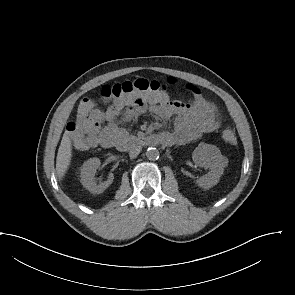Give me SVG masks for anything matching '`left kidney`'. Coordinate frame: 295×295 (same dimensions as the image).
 I'll return each instance as SVG.
<instances>
[{
	"label": "left kidney",
	"instance_id": "left-kidney-1",
	"mask_svg": "<svg viewBox=\"0 0 295 295\" xmlns=\"http://www.w3.org/2000/svg\"><path fill=\"white\" fill-rule=\"evenodd\" d=\"M192 159L198 166L210 170L196 181L198 186L204 189H209L219 182L224 167L227 165V159L221 154L220 150L210 144H199L193 151Z\"/></svg>",
	"mask_w": 295,
	"mask_h": 295
}]
</instances>
